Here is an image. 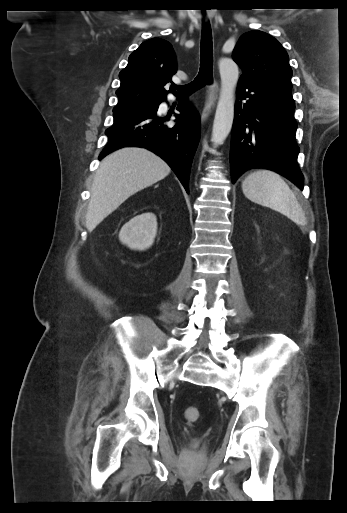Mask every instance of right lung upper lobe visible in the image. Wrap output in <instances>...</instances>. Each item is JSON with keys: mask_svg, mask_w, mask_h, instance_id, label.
Here are the masks:
<instances>
[{"mask_svg": "<svg viewBox=\"0 0 347 513\" xmlns=\"http://www.w3.org/2000/svg\"><path fill=\"white\" fill-rule=\"evenodd\" d=\"M176 58L171 44L160 38L143 42L128 60L119 78L117 106L136 105L146 101L161 102L168 92L164 86L176 73Z\"/></svg>", "mask_w": 347, "mask_h": 513, "instance_id": "right-lung-upper-lobe-1", "label": "right lung upper lobe"}]
</instances>
